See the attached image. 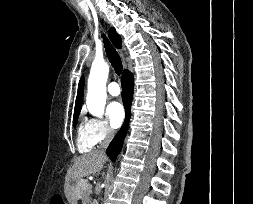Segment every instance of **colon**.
Listing matches in <instances>:
<instances>
[{
  "label": "colon",
  "instance_id": "5ec220e1",
  "mask_svg": "<svg viewBox=\"0 0 253 204\" xmlns=\"http://www.w3.org/2000/svg\"><path fill=\"white\" fill-rule=\"evenodd\" d=\"M50 204H63V202L62 201H60L59 199H57V198H52V200H51V203Z\"/></svg>",
  "mask_w": 253,
  "mask_h": 204
}]
</instances>
